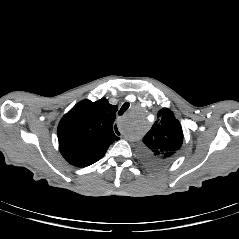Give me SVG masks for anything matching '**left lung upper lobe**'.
<instances>
[{
  "instance_id": "obj_1",
  "label": "left lung upper lobe",
  "mask_w": 239,
  "mask_h": 239,
  "mask_svg": "<svg viewBox=\"0 0 239 239\" xmlns=\"http://www.w3.org/2000/svg\"><path fill=\"white\" fill-rule=\"evenodd\" d=\"M152 129L144 136L143 157L151 164L171 161L183 143V132L179 121L171 110L161 109Z\"/></svg>"
}]
</instances>
